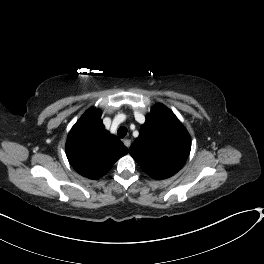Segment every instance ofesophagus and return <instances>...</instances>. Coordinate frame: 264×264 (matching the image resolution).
Instances as JSON below:
<instances>
[{
  "mask_svg": "<svg viewBox=\"0 0 264 264\" xmlns=\"http://www.w3.org/2000/svg\"><path fill=\"white\" fill-rule=\"evenodd\" d=\"M123 143L126 147H129L131 145V141L129 139H124Z\"/></svg>",
  "mask_w": 264,
  "mask_h": 264,
  "instance_id": "esophagus-1",
  "label": "esophagus"
}]
</instances>
